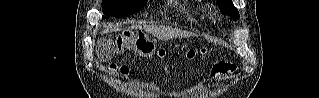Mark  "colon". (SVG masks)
<instances>
[{"label":"colon","instance_id":"colon-1","mask_svg":"<svg viewBox=\"0 0 319 98\" xmlns=\"http://www.w3.org/2000/svg\"><path fill=\"white\" fill-rule=\"evenodd\" d=\"M116 47L118 51H134L140 56L147 59H159L164 57L165 51L163 49H157L154 43L148 39L143 31H124L122 35L116 38ZM209 54V51L205 48L199 50L190 49L186 52L188 59H194L197 56L205 57ZM113 69H120L122 73H126V68H118L113 66ZM236 67L229 63L219 62L216 63L212 68V74L217 75H228L235 71Z\"/></svg>","mask_w":319,"mask_h":98}]
</instances>
